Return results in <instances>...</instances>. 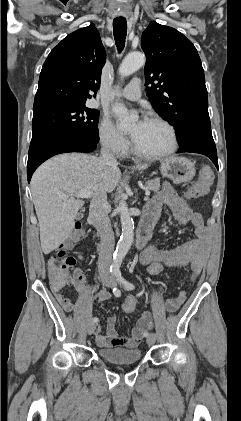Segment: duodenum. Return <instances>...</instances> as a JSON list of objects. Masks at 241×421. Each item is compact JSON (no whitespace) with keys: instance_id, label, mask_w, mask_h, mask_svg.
Masks as SVG:
<instances>
[{"instance_id":"410a0bca","label":"duodenum","mask_w":241,"mask_h":421,"mask_svg":"<svg viewBox=\"0 0 241 421\" xmlns=\"http://www.w3.org/2000/svg\"><path fill=\"white\" fill-rule=\"evenodd\" d=\"M155 220V217L145 215V217L141 221L137 231L136 245L138 248L143 247L149 239Z\"/></svg>"}]
</instances>
